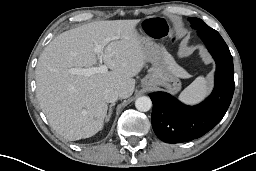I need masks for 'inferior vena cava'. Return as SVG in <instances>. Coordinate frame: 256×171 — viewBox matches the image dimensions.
Wrapping results in <instances>:
<instances>
[{
	"label": "inferior vena cava",
	"mask_w": 256,
	"mask_h": 171,
	"mask_svg": "<svg viewBox=\"0 0 256 171\" xmlns=\"http://www.w3.org/2000/svg\"><path fill=\"white\" fill-rule=\"evenodd\" d=\"M103 97L107 103H114L118 99L119 93L112 88H107L103 92Z\"/></svg>",
	"instance_id": "1"
}]
</instances>
